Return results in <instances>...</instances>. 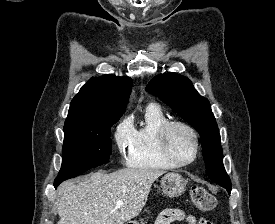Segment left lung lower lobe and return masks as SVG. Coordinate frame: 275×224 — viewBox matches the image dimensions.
I'll use <instances>...</instances> for the list:
<instances>
[{
  "instance_id": "left-lung-lower-lobe-1",
  "label": "left lung lower lobe",
  "mask_w": 275,
  "mask_h": 224,
  "mask_svg": "<svg viewBox=\"0 0 275 224\" xmlns=\"http://www.w3.org/2000/svg\"><path fill=\"white\" fill-rule=\"evenodd\" d=\"M223 187L228 191V193L230 194L231 192V184H224Z\"/></svg>"
}]
</instances>
